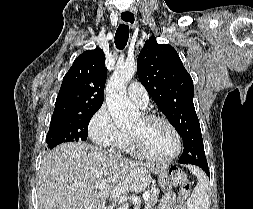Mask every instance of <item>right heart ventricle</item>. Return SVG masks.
I'll list each match as a JSON object with an SVG mask.
<instances>
[{
  "instance_id": "1",
  "label": "right heart ventricle",
  "mask_w": 253,
  "mask_h": 209,
  "mask_svg": "<svg viewBox=\"0 0 253 209\" xmlns=\"http://www.w3.org/2000/svg\"><path fill=\"white\" fill-rule=\"evenodd\" d=\"M122 148H124V150L127 151L130 154H136V152L133 148L132 142L129 138H128L126 144Z\"/></svg>"
}]
</instances>
